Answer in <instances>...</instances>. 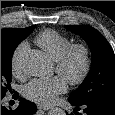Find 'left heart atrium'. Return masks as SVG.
<instances>
[{
    "label": "left heart atrium",
    "mask_w": 115,
    "mask_h": 115,
    "mask_svg": "<svg viewBox=\"0 0 115 115\" xmlns=\"http://www.w3.org/2000/svg\"><path fill=\"white\" fill-rule=\"evenodd\" d=\"M66 82L62 77L33 79L22 89L23 96L42 106L54 103L57 96L66 91Z\"/></svg>",
    "instance_id": "obj_1"
}]
</instances>
